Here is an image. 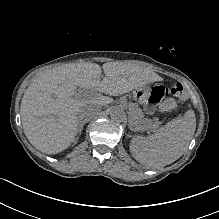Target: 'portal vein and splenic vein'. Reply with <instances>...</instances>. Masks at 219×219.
Segmentation results:
<instances>
[{
  "instance_id": "18ae733b",
  "label": "portal vein and splenic vein",
  "mask_w": 219,
  "mask_h": 219,
  "mask_svg": "<svg viewBox=\"0 0 219 219\" xmlns=\"http://www.w3.org/2000/svg\"><path fill=\"white\" fill-rule=\"evenodd\" d=\"M90 95H91V93H85V94L75 93L76 98H81V97L85 98V97L90 96Z\"/></svg>"
}]
</instances>
